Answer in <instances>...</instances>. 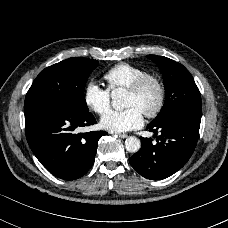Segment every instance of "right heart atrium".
I'll return each instance as SVG.
<instances>
[{"label": "right heart atrium", "instance_id": "1", "mask_svg": "<svg viewBox=\"0 0 228 228\" xmlns=\"http://www.w3.org/2000/svg\"><path fill=\"white\" fill-rule=\"evenodd\" d=\"M85 105L101 115L106 112L111 104V93L96 80H89L83 91Z\"/></svg>", "mask_w": 228, "mask_h": 228}]
</instances>
